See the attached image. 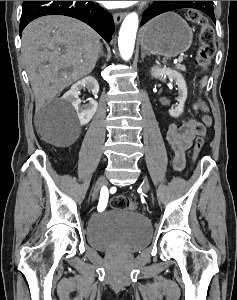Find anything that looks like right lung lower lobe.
<instances>
[{
  "label": "right lung lower lobe",
  "mask_w": 237,
  "mask_h": 300,
  "mask_svg": "<svg viewBox=\"0 0 237 300\" xmlns=\"http://www.w3.org/2000/svg\"><path fill=\"white\" fill-rule=\"evenodd\" d=\"M45 15H65L77 18L97 31L107 42L114 32L112 16L91 1H24L20 35L32 20Z\"/></svg>",
  "instance_id": "right-lung-lower-lobe-1"
}]
</instances>
